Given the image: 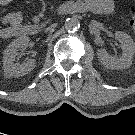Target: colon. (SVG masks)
Returning a JSON list of instances; mask_svg holds the SVG:
<instances>
[{"label": "colon", "instance_id": "5ec220e1", "mask_svg": "<svg viewBox=\"0 0 135 135\" xmlns=\"http://www.w3.org/2000/svg\"><path fill=\"white\" fill-rule=\"evenodd\" d=\"M129 25L135 33V7H131L129 11Z\"/></svg>", "mask_w": 135, "mask_h": 135}]
</instances>
